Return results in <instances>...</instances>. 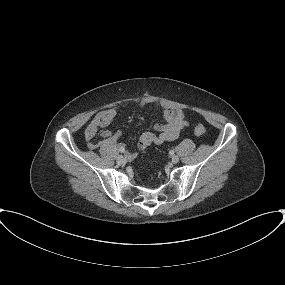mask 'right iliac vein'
<instances>
[{
  "instance_id": "right-iliac-vein-1",
  "label": "right iliac vein",
  "mask_w": 285,
  "mask_h": 285,
  "mask_svg": "<svg viewBox=\"0 0 285 285\" xmlns=\"http://www.w3.org/2000/svg\"><path fill=\"white\" fill-rule=\"evenodd\" d=\"M126 160H127V157H124V156H122V155H120V156L117 157V163H119V164L125 163Z\"/></svg>"
}]
</instances>
